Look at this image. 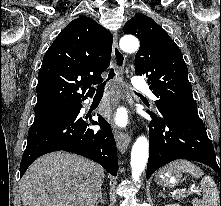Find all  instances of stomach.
<instances>
[{"instance_id":"obj_1","label":"stomach","mask_w":221,"mask_h":206,"mask_svg":"<svg viewBox=\"0 0 221 206\" xmlns=\"http://www.w3.org/2000/svg\"><path fill=\"white\" fill-rule=\"evenodd\" d=\"M181 177V170L167 166L157 172L155 182L162 187L172 188L180 182Z\"/></svg>"}]
</instances>
